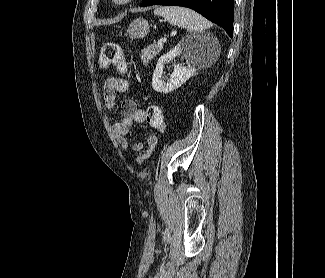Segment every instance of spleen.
I'll use <instances>...</instances> for the list:
<instances>
[{
    "mask_svg": "<svg viewBox=\"0 0 325 278\" xmlns=\"http://www.w3.org/2000/svg\"><path fill=\"white\" fill-rule=\"evenodd\" d=\"M156 16H161L171 25L185 28L189 32H201L212 26L211 22L195 11L178 6L157 7L154 10Z\"/></svg>",
    "mask_w": 325,
    "mask_h": 278,
    "instance_id": "1",
    "label": "spleen"
}]
</instances>
